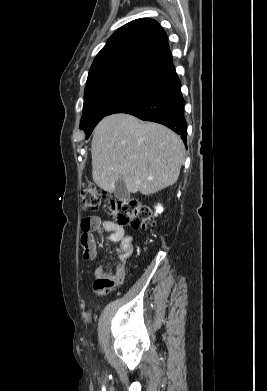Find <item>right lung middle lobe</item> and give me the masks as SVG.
<instances>
[{
  "label": "right lung middle lobe",
  "mask_w": 267,
  "mask_h": 391,
  "mask_svg": "<svg viewBox=\"0 0 267 391\" xmlns=\"http://www.w3.org/2000/svg\"><path fill=\"white\" fill-rule=\"evenodd\" d=\"M150 77V75L133 72H116L87 82L80 121V128L85 131L86 139L97 123L107 116L114 106L144 85Z\"/></svg>",
  "instance_id": "right-lung-middle-lobe-1"
}]
</instances>
